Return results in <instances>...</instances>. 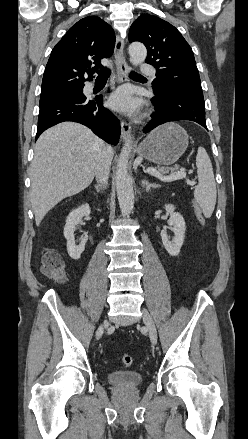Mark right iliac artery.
Wrapping results in <instances>:
<instances>
[{
    "mask_svg": "<svg viewBox=\"0 0 248 439\" xmlns=\"http://www.w3.org/2000/svg\"><path fill=\"white\" fill-rule=\"evenodd\" d=\"M102 329H103V326L102 325H99L97 328H96V330H95V335H96V337L93 339L95 342H97L98 340H99V336H101L102 335Z\"/></svg>",
    "mask_w": 248,
    "mask_h": 439,
    "instance_id": "1",
    "label": "right iliac artery"
}]
</instances>
